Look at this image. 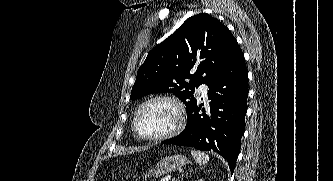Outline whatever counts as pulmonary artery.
<instances>
[{
  "label": "pulmonary artery",
  "instance_id": "pulmonary-artery-1",
  "mask_svg": "<svg viewBox=\"0 0 333 181\" xmlns=\"http://www.w3.org/2000/svg\"><path fill=\"white\" fill-rule=\"evenodd\" d=\"M197 93L204 99H207L208 87L206 85H201L197 89Z\"/></svg>",
  "mask_w": 333,
  "mask_h": 181
}]
</instances>
